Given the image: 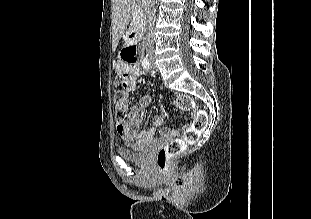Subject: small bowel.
Returning a JSON list of instances; mask_svg holds the SVG:
<instances>
[{
	"label": "small bowel",
	"mask_w": 311,
	"mask_h": 219,
	"mask_svg": "<svg viewBox=\"0 0 311 219\" xmlns=\"http://www.w3.org/2000/svg\"><path fill=\"white\" fill-rule=\"evenodd\" d=\"M115 67L120 74L125 76L127 91H134L140 76V69L136 65L127 64L121 60L115 62ZM151 102L152 97L150 95L141 96L138 103L130 108L128 119L117 122V132L127 144L151 140L155 136L157 129L164 124L163 117L155 115L152 119L151 126L145 130L141 129L144 109L149 106Z\"/></svg>",
	"instance_id": "c3829d8e"
}]
</instances>
